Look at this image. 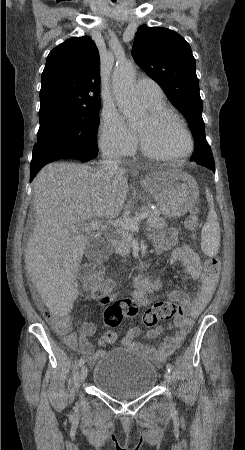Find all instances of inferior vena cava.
Here are the masks:
<instances>
[{
  "instance_id": "inferior-vena-cava-1",
  "label": "inferior vena cava",
  "mask_w": 245,
  "mask_h": 450,
  "mask_svg": "<svg viewBox=\"0 0 245 450\" xmlns=\"http://www.w3.org/2000/svg\"><path fill=\"white\" fill-rule=\"evenodd\" d=\"M102 159V168L99 171L100 173H114L120 169L119 165L121 163V160L119 154H117L116 152L109 150L103 151Z\"/></svg>"
}]
</instances>
